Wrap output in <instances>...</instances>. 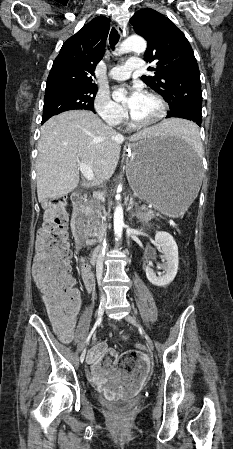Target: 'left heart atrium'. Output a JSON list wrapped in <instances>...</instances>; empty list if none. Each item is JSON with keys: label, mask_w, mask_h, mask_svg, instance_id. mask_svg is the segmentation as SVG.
Returning a JSON list of instances; mask_svg holds the SVG:
<instances>
[{"label": "left heart atrium", "mask_w": 233, "mask_h": 449, "mask_svg": "<svg viewBox=\"0 0 233 449\" xmlns=\"http://www.w3.org/2000/svg\"><path fill=\"white\" fill-rule=\"evenodd\" d=\"M144 93L135 87L129 88V96L127 100L128 109L132 111L134 107L137 105L139 100L143 97Z\"/></svg>", "instance_id": "39dd6f15"}]
</instances>
